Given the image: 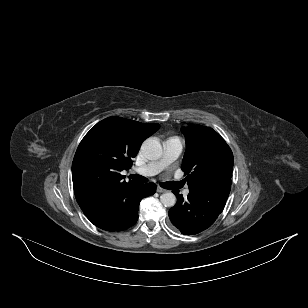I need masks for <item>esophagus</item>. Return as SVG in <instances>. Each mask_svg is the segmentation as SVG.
Here are the masks:
<instances>
[{"label": "esophagus", "mask_w": 308, "mask_h": 308, "mask_svg": "<svg viewBox=\"0 0 308 308\" xmlns=\"http://www.w3.org/2000/svg\"><path fill=\"white\" fill-rule=\"evenodd\" d=\"M167 190L166 189H164V188H162V187H157V192H159V193H164V192H166Z\"/></svg>", "instance_id": "esophagus-1"}]
</instances>
